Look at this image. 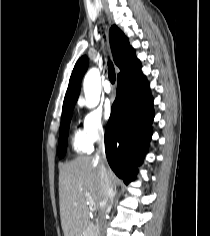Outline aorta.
I'll return each mask as SVG.
<instances>
[{
  "label": "aorta",
  "instance_id": "obj_1",
  "mask_svg": "<svg viewBox=\"0 0 210 236\" xmlns=\"http://www.w3.org/2000/svg\"><path fill=\"white\" fill-rule=\"evenodd\" d=\"M86 105L89 108L98 105L101 94V76L97 68L90 69L83 81Z\"/></svg>",
  "mask_w": 210,
  "mask_h": 236
}]
</instances>
